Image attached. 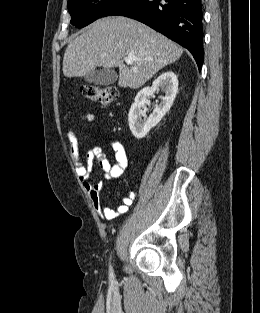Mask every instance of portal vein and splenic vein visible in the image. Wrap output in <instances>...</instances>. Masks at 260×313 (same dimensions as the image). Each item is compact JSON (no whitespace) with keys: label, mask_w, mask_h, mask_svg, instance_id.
I'll use <instances>...</instances> for the list:
<instances>
[{"label":"portal vein and splenic vein","mask_w":260,"mask_h":313,"mask_svg":"<svg viewBox=\"0 0 260 313\" xmlns=\"http://www.w3.org/2000/svg\"><path fill=\"white\" fill-rule=\"evenodd\" d=\"M135 60H137L135 56H129L124 58V61L126 62L127 65H132Z\"/></svg>","instance_id":"18ae733b"}]
</instances>
